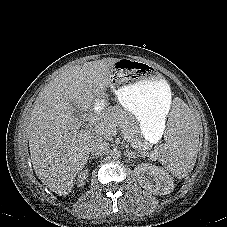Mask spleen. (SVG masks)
Returning a JSON list of instances; mask_svg holds the SVG:
<instances>
[{"label":"spleen","instance_id":"obj_1","mask_svg":"<svg viewBox=\"0 0 227 227\" xmlns=\"http://www.w3.org/2000/svg\"><path fill=\"white\" fill-rule=\"evenodd\" d=\"M168 141L161 149L160 160L178 179L188 175L198 153V125L187 111L174 110L168 116Z\"/></svg>","mask_w":227,"mask_h":227}]
</instances>
